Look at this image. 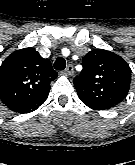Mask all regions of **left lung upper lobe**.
<instances>
[{
  "instance_id": "obj_1",
  "label": "left lung upper lobe",
  "mask_w": 135,
  "mask_h": 165,
  "mask_svg": "<svg viewBox=\"0 0 135 165\" xmlns=\"http://www.w3.org/2000/svg\"><path fill=\"white\" fill-rule=\"evenodd\" d=\"M131 70L119 55L94 49L83 58V70L74 79L80 100L88 107L105 110L119 104L130 88Z\"/></svg>"
}]
</instances>
